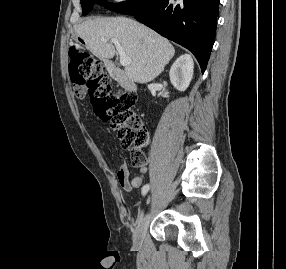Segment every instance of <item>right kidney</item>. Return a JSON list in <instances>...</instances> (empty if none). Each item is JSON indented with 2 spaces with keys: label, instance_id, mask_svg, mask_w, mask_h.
Returning a JSON list of instances; mask_svg holds the SVG:
<instances>
[{
  "label": "right kidney",
  "instance_id": "right-kidney-1",
  "mask_svg": "<svg viewBox=\"0 0 286 269\" xmlns=\"http://www.w3.org/2000/svg\"><path fill=\"white\" fill-rule=\"evenodd\" d=\"M194 63L189 54L181 55L172 65L169 76L174 88L185 91L193 77Z\"/></svg>",
  "mask_w": 286,
  "mask_h": 269
}]
</instances>
